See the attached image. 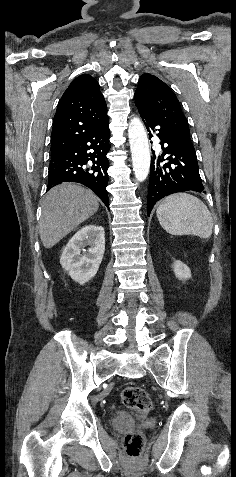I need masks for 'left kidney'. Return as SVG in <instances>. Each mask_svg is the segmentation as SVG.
<instances>
[{
	"label": "left kidney",
	"instance_id": "left-kidney-1",
	"mask_svg": "<svg viewBox=\"0 0 236 477\" xmlns=\"http://www.w3.org/2000/svg\"><path fill=\"white\" fill-rule=\"evenodd\" d=\"M173 270L175 276L180 280H187L191 278V271L189 267L179 260L175 261L173 264Z\"/></svg>",
	"mask_w": 236,
	"mask_h": 477
}]
</instances>
